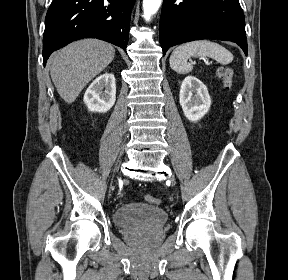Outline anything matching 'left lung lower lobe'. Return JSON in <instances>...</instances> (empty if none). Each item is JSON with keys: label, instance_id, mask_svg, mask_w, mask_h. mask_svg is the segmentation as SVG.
Segmentation results:
<instances>
[{"label": "left lung lower lobe", "instance_id": "0a47b994", "mask_svg": "<svg viewBox=\"0 0 288 280\" xmlns=\"http://www.w3.org/2000/svg\"><path fill=\"white\" fill-rule=\"evenodd\" d=\"M244 19L239 0H164L160 17L163 56L174 45L201 39L235 42L247 55Z\"/></svg>", "mask_w": 288, "mask_h": 280}]
</instances>
